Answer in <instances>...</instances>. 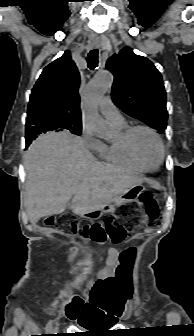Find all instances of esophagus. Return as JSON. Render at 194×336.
Wrapping results in <instances>:
<instances>
[{
	"mask_svg": "<svg viewBox=\"0 0 194 336\" xmlns=\"http://www.w3.org/2000/svg\"><path fill=\"white\" fill-rule=\"evenodd\" d=\"M101 44H102V40H100V39L95 40V45L97 47L101 46Z\"/></svg>",
	"mask_w": 194,
	"mask_h": 336,
	"instance_id": "1",
	"label": "esophagus"
}]
</instances>
